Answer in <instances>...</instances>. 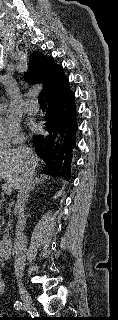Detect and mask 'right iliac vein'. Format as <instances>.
Here are the masks:
<instances>
[{"mask_svg": "<svg viewBox=\"0 0 118 320\" xmlns=\"http://www.w3.org/2000/svg\"><path fill=\"white\" fill-rule=\"evenodd\" d=\"M20 297L26 307H32V297L24 286H19Z\"/></svg>", "mask_w": 118, "mask_h": 320, "instance_id": "right-iliac-vein-1", "label": "right iliac vein"}]
</instances>
